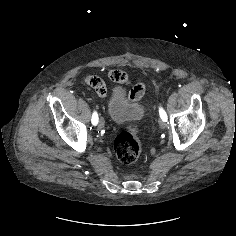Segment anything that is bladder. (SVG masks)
I'll list each match as a JSON object with an SVG mask.
<instances>
[{
	"instance_id": "bladder-1",
	"label": "bladder",
	"mask_w": 236,
	"mask_h": 236,
	"mask_svg": "<svg viewBox=\"0 0 236 236\" xmlns=\"http://www.w3.org/2000/svg\"><path fill=\"white\" fill-rule=\"evenodd\" d=\"M108 114L117 124H132L140 121L145 113L144 106L129 100L121 87H115L108 99Z\"/></svg>"
}]
</instances>
